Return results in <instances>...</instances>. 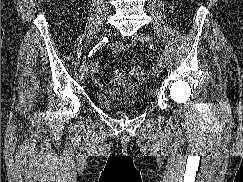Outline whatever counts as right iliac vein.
Instances as JSON below:
<instances>
[{
	"label": "right iliac vein",
	"mask_w": 243,
	"mask_h": 182,
	"mask_svg": "<svg viewBox=\"0 0 243 182\" xmlns=\"http://www.w3.org/2000/svg\"><path fill=\"white\" fill-rule=\"evenodd\" d=\"M111 34H112V29L108 27L103 31L102 36L107 37V36H111ZM87 77H88V66L86 61H84L80 68V79L82 81H86Z\"/></svg>",
	"instance_id": "right-iliac-vein-1"
}]
</instances>
